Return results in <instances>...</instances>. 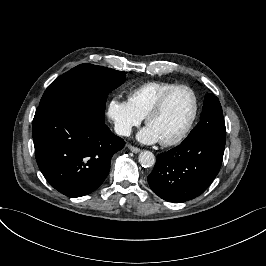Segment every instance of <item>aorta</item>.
I'll list each match as a JSON object with an SVG mask.
<instances>
[{"label":"aorta","mask_w":266,"mask_h":266,"mask_svg":"<svg viewBox=\"0 0 266 266\" xmlns=\"http://www.w3.org/2000/svg\"><path fill=\"white\" fill-rule=\"evenodd\" d=\"M139 162L144 168L152 167L155 164V156L151 151H142L139 154Z\"/></svg>","instance_id":"obj_1"}]
</instances>
